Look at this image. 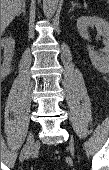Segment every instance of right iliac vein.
Returning <instances> with one entry per match:
<instances>
[{
	"instance_id": "right-iliac-vein-1",
	"label": "right iliac vein",
	"mask_w": 109,
	"mask_h": 170,
	"mask_svg": "<svg viewBox=\"0 0 109 170\" xmlns=\"http://www.w3.org/2000/svg\"><path fill=\"white\" fill-rule=\"evenodd\" d=\"M34 147H35L34 135L32 132H30L27 137V141L25 145V158L26 159H29L31 157V155L33 154Z\"/></svg>"
}]
</instances>
